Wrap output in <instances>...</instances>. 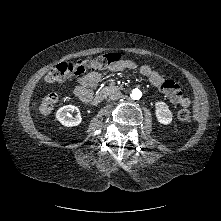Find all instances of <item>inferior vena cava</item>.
Masks as SVG:
<instances>
[{"label": "inferior vena cava", "instance_id": "1", "mask_svg": "<svg viewBox=\"0 0 221 221\" xmlns=\"http://www.w3.org/2000/svg\"><path fill=\"white\" fill-rule=\"evenodd\" d=\"M122 98V93L119 90H113L109 93L110 100H118Z\"/></svg>", "mask_w": 221, "mask_h": 221}]
</instances>
